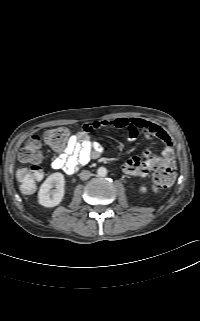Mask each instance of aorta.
<instances>
[{"label": "aorta", "instance_id": "aorta-1", "mask_svg": "<svg viewBox=\"0 0 200 321\" xmlns=\"http://www.w3.org/2000/svg\"><path fill=\"white\" fill-rule=\"evenodd\" d=\"M97 174L99 177H105L107 175V169L105 167H100L97 170Z\"/></svg>", "mask_w": 200, "mask_h": 321}]
</instances>
